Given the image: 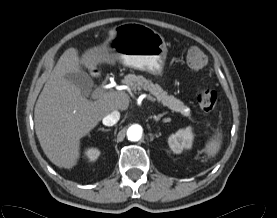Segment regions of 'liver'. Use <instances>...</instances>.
Here are the masks:
<instances>
[{"label":"liver","mask_w":277,"mask_h":218,"mask_svg":"<svg viewBox=\"0 0 277 218\" xmlns=\"http://www.w3.org/2000/svg\"><path fill=\"white\" fill-rule=\"evenodd\" d=\"M113 35L114 29L109 30V36ZM109 59L106 48L91 50L87 61L80 60L76 48L67 49L38 97L34 110L36 135L45 155L58 167H74L80 157V139L106 115L114 110L124 111L129 106L125 92H104L91 101L65 78L67 73L81 71V64L93 71L99 61Z\"/></svg>","instance_id":"obj_1"}]
</instances>
